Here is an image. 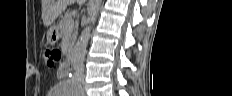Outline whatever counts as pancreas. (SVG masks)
<instances>
[{
	"label": "pancreas",
	"instance_id": "1",
	"mask_svg": "<svg viewBox=\"0 0 232 96\" xmlns=\"http://www.w3.org/2000/svg\"><path fill=\"white\" fill-rule=\"evenodd\" d=\"M60 35L64 36L65 34L70 35V44L72 45L77 38V27L74 26V21L72 19V14L67 11L62 17L59 24Z\"/></svg>",
	"mask_w": 232,
	"mask_h": 96
}]
</instances>
